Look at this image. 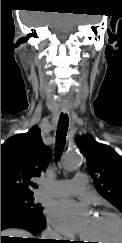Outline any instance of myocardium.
<instances>
[{"label":"myocardium","instance_id":"f54148a6","mask_svg":"<svg viewBox=\"0 0 122 243\" xmlns=\"http://www.w3.org/2000/svg\"><path fill=\"white\" fill-rule=\"evenodd\" d=\"M97 213L100 215L112 217L113 219H115L118 222L119 227H120V238L118 240V243H122V216H120L118 213H116L114 211L107 210V209L99 210Z\"/></svg>","mask_w":122,"mask_h":243}]
</instances>
